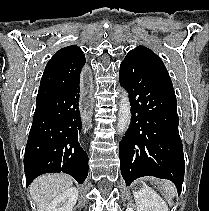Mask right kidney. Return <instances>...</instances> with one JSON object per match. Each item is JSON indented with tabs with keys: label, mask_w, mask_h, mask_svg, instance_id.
<instances>
[{
	"label": "right kidney",
	"mask_w": 209,
	"mask_h": 211,
	"mask_svg": "<svg viewBox=\"0 0 209 211\" xmlns=\"http://www.w3.org/2000/svg\"><path fill=\"white\" fill-rule=\"evenodd\" d=\"M77 199L78 189L70 187L56 196L45 211H73Z\"/></svg>",
	"instance_id": "1"
}]
</instances>
